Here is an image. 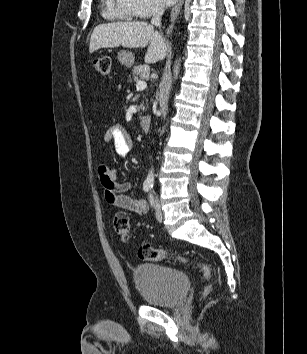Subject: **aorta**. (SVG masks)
Segmentation results:
<instances>
[{
  "label": "aorta",
  "mask_w": 307,
  "mask_h": 354,
  "mask_svg": "<svg viewBox=\"0 0 307 354\" xmlns=\"http://www.w3.org/2000/svg\"><path fill=\"white\" fill-rule=\"evenodd\" d=\"M179 69H180V60L176 61V64H175L174 69H173L174 79H177L178 73H179ZM145 183L149 184V185H152L154 183V169L153 168H151L149 170L148 175H147L146 180H145Z\"/></svg>",
  "instance_id": "aorta-1"
}]
</instances>
